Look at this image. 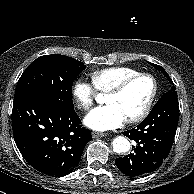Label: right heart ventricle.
I'll return each mask as SVG.
<instances>
[{
    "label": "right heart ventricle",
    "mask_w": 194,
    "mask_h": 194,
    "mask_svg": "<svg viewBox=\"0 0 194 194\" xmlns=\"http://www.w3.org/2000/svg\"><path fill=\"white\" fill-rule=\"evenodd\" d=\"M138 73L129 67H108L91 73V81L94 88L102 93H108L123 79Z\"/></svg>",
    "instance_id": "obj_1"
}]
</instances>
